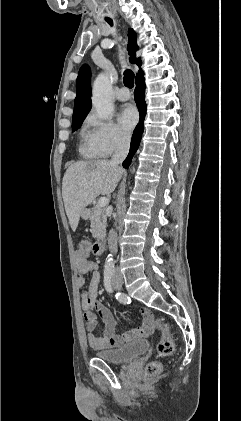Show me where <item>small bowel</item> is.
Segmentation results:
<instances>
[{"instance_id": "obj_1", "label": "small bowel", "mask_w": 241, "mask_h": 421, "mask_svg": "<svg viewBox=\"0 0 241 421\" xmlns=\"http://www.w3.org/2000/svg\"><path fill=\"white\" fill-rule=\"evenodd\" d=\"M76 266L79 272L77 280L79 287H84L88 282L87 289L82 293L81 310L88 330V344L92 349L105 350L120 346L133 339L148 336L155 329L154 316L147 308L141 309L143 323L141 326L125 331L121 334L116 332V320L112 311L98 300V286L100 275L98 264L88 260L87 256L80 253L76 255ZM98 314L104 323L103 335L96 333Z\"/></svg>"}]
</instances>
